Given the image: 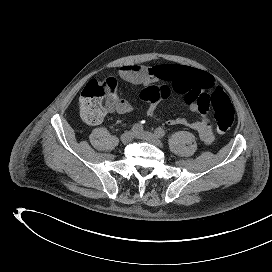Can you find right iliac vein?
Returning <instances> with one entry per match:
<instances>
[{
  "label": "right iliac vein",
  "mask_w": 272,
  "mask_h": 272,
  "mask_svg": "<svg viewBox=\"0 0 272 272\" xmlns=\"http://www.w3.org/2000/svg\"><path fill=\"white\" fill-rule=\"evenodd\" d=\"M134 138V132L132 131H126L121 135V141L124 144L130 143Z\"/></svg>",
  "instance_id": "1"
}]
</instances>
